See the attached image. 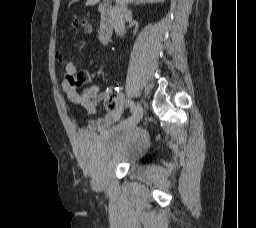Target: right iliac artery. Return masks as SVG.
Returning a JSON list of instances; mask_svg holds the SVG:
<instances>
[{
    "instance_id": "82829eb1",
    "label": "right iliac artery",
    "mask_w": 256,
    "mask_h": 228,
    "mask_svg": "<svg viewBox=\"0 0 256 228\" xmlns=\"http://www.w3.org/2000/svg\"><path fill=\"white\" fill-rule=\"evenodd\" d=\"M127 104L129 105V107L131 109V113H134V111H135V104H134V102L131 101V100H128Z\"/></svg>"
}]
</instances>
